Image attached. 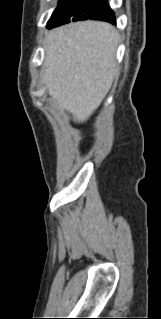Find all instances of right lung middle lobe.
<instances>
[{
  "label": "right lung middle lobe",
  "mask_w": 161,
  "mask_h": 319,
  "mask_svg": "<svg viewBox=\"0 0 161 319\" xmlns=\"http://www.w3.org/2000/svg\"><path fill=\"white\" fill-rule=\"evenodd\" d=\"M102 0H60L48 21L47 28L51 29L72 21L86 20L95 12Z\"/></svg>",
  "instance_id": "obj_1"
}]
</instances>
